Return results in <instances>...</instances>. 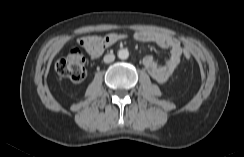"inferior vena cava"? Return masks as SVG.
Segmentation results:
<instances>
[{
  "label": "inferior vena cava",
  "instance_id": "1",
  "mask_svg": "<svg viewBox=\"0 0 244 157\" xmlns=\"http://www.w3.org/2000/svg\"><path fill=\"white\" fill-rule=\"evenodd\" d=\"M103 60L105 63H111L115 60V56L114 54H107L104 56Z\"/></svg>",
  "mask_w": 244,
  "mask_h": 157
}]
</instances>
